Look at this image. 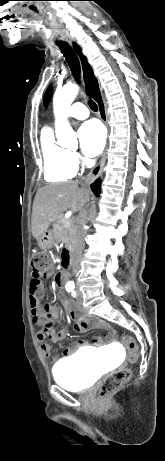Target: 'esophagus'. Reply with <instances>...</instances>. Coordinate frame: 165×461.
I'll list each match as a JSON object with an SVG mask.
<instances>
[{
	"label": "esophagus",
	"instance_id": "34e87169",
	"mask_svg": "<svg viewBox=\"0 0 165 461\" xmlns=\"http://www.w3.org/2000/svg\"><path fill=\"white\" fill-rule=\"evenodd\" d=\"M71 45L76 51H78L80 53V51H81L80 46L75 40H71ZM86 61H87L86 57L82 55L81 56L82 75H83L84 84L87 87L85 79H84ZM98 83H99V81H98ZM99 88H100V93H101V98H102V103L97 102L98 109H99V115H100V118L103 121V123L106 126H108V118H107L106 106H105V101H104V97H103V93H102V88L100 87V85H99ZM107 149H108V144L106 145V147L104 149V152L102 154V157H101L98 165L95 168H93L90 171V173L87 175L86 183H90L91 181L97 179L102 174V170H103V167H104L105 162H106Z\"/></svg>",
	"mask_w": 165,
	"mask_h": 461
}]
</instances>
